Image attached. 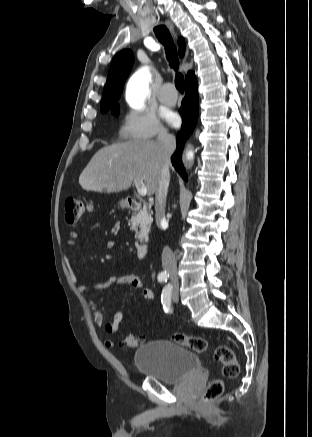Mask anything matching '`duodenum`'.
I'll return each mask as SVG.
<instances>
[{"mask_svg":"<svg viewBox=\"0 0 312 437\" xmlns=\"http://www.w3.org/2000/svg\"><path fill=\"white\" fill-rule=\"evenodd\" d=\"M126 205L129 209H139L142 206V202L134 197L126 198ZM149 251V245L147 242L142 241L136 245V254L138 258L144 259Z\"/></svg>","mask_w":312,"mask_h":437,"instance_id":"1","label":"duodenum"}]
</instances>
